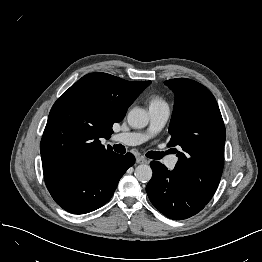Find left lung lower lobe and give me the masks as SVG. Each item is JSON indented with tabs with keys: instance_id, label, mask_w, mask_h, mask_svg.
<instances>
[{
	"instance_id": "1",
	"label": "left lung lower lobe",
	"mask_w": 262,
	"mask_h": 262,
	"mask_svg": "<svg viewBox=\"0 0 262 262\" xmlns=\"http://www.w3.org/2000/svg\"><path fill=\"white\" fill-rule=\"evenodd\" d=\"M150 166L153 176L146 186L147 195L154 207L163 215L173 220H184L205 207L206 204L165 165L152 161Z\"/></svg>"
}]
</instances>
